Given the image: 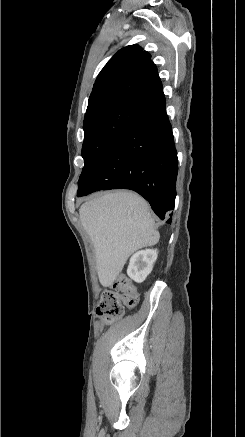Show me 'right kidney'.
Segmentation results:
<instances>
[{
    "mask_svg": "<svg viewBox=\"0 0 245 437\" xmlns=\"http://www.w3.org/2000/svg\"><path fill=\"white\" fill-rule=\"evenodd\" d=\"M157 256L158 252L156 249H146L136 252L130 259L127 269L128 276L138 283L143 282L151 273Z\"/></svg>",
    "mask_w": 245,
    "mask_h": 437,
    "instance_id": "ca27d5eb",
    "label": "right kidney"
}]
</instances>
